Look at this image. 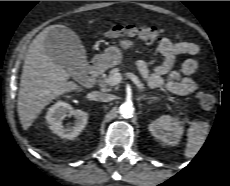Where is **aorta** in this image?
<instances>
[{
  "label": "aorta",
  "mask_w": 230,
  "mask_h": 186,
  "mask_svg": "<svg viewBox=\"0 0 230 186\" xmlns=\"http://www.w3.org/2000/svg\"><path fill=\"white\" fill-rule=\"evenodd\" d=\"M119 113L124 118H130V117H132V115L134 113V107L131 103H127V102L123 103L119 107Z\"/></svg>",
  "instance_id": "762f6f07"
}]
</instances>
